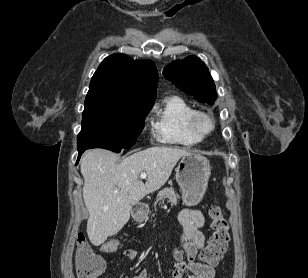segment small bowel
I'll use <instances>...</instances> for the list:
<instances>
[{
  "instance_id": "1",
  "label": "small bowel",
  "mask_w": 308,
  "mask_h": 278,
  "mask_svg": "<svg viewBox=\"0 0 308 278\" xmlns=\"http://www.w3.org/2000/svg\"><path fill=\"white\" fill-rule=\"evenodd\" d=\"M179 221L183 229L179 236V245L172 251L175 268L170 278H214L213 267L197 261L198 252L205 246V236L202 232L205 224L203 214L199 210L186 208L180 211ZM119 255L133 261L139 256V251L131 248L124 249L119 252ZM132 278H148V271L141 269Z\"/></svg>"
}]
</instances>
